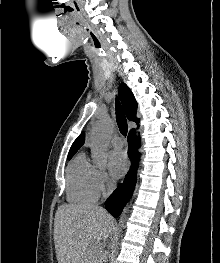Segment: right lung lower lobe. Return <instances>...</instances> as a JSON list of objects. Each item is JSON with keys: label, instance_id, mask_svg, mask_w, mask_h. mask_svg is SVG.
Listing matches in <instances>:
<instances>
[{"label": "right lung lower lobe", "instance_id": "right-lung-lower-lobe-1", "mask_svg": "<svg viewBox=\"0 0 220 263\" xmlns=\"http://www.w3.org/2000/svg\"><path fill=\"white\" fill-rule=\"evenodd\" d=\"M128 155L131 158L132 166L127 174L124 183L121 184L107 199L105 202V207L108 212H110L114 217H118L126 202L129 201L134 186L136 183V171L138 167V137L135 135V131H131L128 135Z\"/></svg>", "mask_w": 220, "mask_h": 263}]
</instances>
